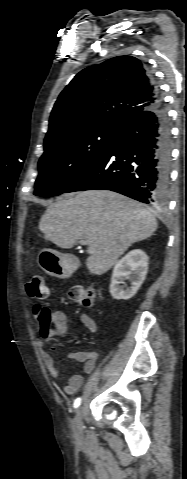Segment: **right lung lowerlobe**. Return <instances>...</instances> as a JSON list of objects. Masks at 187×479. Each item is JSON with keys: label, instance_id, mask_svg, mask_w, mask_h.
<instances>
[{"label": "right lung lower lobe", "instance_id": "98d812e1", "mask_svg": "<svg viewBox=\"0 0 187 479\" xmlns=\"http://www.w3.org/2000/svg\"><path fill=\"white\" fill-rule=\"evenodd\" d=\"M170 164L169 119L160 97L127 121L108 149L65 192L104 189L160 204L168 194Z\"/></svg>", "mask_w": 187, "mask_h": 479}]
</instances>
